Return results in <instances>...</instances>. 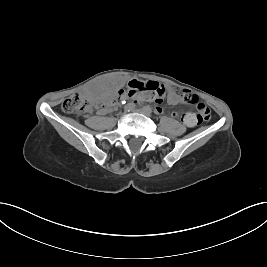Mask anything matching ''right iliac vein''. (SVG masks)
<instances>
[{
    "label": "right iliac vein",
    "mask_w": 267,
    "mask_h": 267,
    "mask_svg": "<svg viewBox=\"0 0 267 267\" xmlns=\"http://www.w3.org/2000/svg\"><path fill=\"white\" fill-rule=\"evenodd\" d=\"M126 114H127V112H124V113L122 114V117L126 116Z\"/></svg>",
    "instance_id": "1"
}]
</instances>
